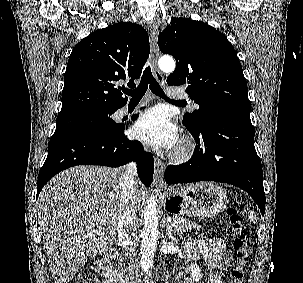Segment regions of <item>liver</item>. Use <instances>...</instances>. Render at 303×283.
<instances>
[{"mask_svg": "<svg viewBox=\"0 0 303 283\" xmlns=\"http://www.w3.org/2000/svg\"><path fill=\"white\" fill-rule=\"evenodd\" d=\"M122 168L75 166L41 191L37 212L44 249L55 283H68L88 258L116 242L121 214ZM136 205L145 188L136 178Z\"/></svg>", "mask_w": 303, "mask_h": 283, "instance_id": "6515ba94", "label": "liver"}]
</instances>
